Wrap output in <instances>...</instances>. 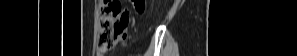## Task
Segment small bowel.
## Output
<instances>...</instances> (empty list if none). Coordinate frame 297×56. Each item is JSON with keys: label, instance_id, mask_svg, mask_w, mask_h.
<instances>
[{"label": "small bowel", "instance_id": "small-bowel-1", "mask_svg": "<svg viewBox=\"0 0 297 56\" xmlns=\"http://www.w3.org/2000/svg\"><path fill=\"white\" fill-rule=\"evenodd\" d=\"M127 38H130V33H121L120 41H127Z\"/></svg>", "mask_w": 297, "mask_h": 56}]
</instances>
